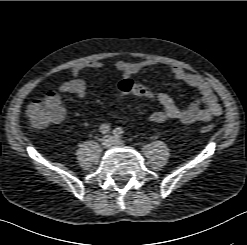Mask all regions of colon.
Listing matches in <instances>:
<instances>
[{
	"label": "colon",
	"instance_id": "5ec220e1",
	"mask_svg": "<svg viewBox=\"0 0 247 245\" xmlns=\"http://www.w3.org/2000/svg\"><path fill=\"white\" fill-rule=\"evenodd\" d=\"M118 91L121 95L133 94L143 98H151L152 90L130 78L121 80L118 84ZM27 116L30 126L34 130H42L51 124L59 123L64 118V111L61 104L55 101H46L45 98L33 100L27 107ZM213 124H205L200 130L203 133L213 131Z\"/></svg>",
	"mask_w": 247,
	"mask_h": 245
}]
</instances>
